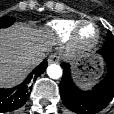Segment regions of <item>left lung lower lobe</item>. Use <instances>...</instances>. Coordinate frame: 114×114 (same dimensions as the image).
Masks as SVG:
<instances>
[{
  "instance_id": "obj_1",
  "label": "left lung lower lobe",
  "mask_w": 114,
  "mask_h": 114,
  "mask_svg": "<svg viewBox=\"0 0 114 114\" xmlns=\"http://www.w3.org/2000/svg\"><path fill=\"white\" fill-rule=\"evenodd\" d=\"M104 58L108 73L92 91H82L71 79L70 66L62 63L63 76L59 85L63 104L79 114H95L104 109L114 97V49L102 48L98 51Z\"/></svg>"
}]
</instances>
